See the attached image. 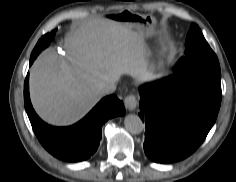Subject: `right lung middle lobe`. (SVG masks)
Here are the masks:
<instances>
[{
	"mask_svg": "<svg viewBox=\"0 0 236 182\" xmlns=\"http://www.w3.org/2000/svg\"><path fill=\"white\" fill-rule=\"evenodd\" d=\"M55 33L56 31L54 30L51 33H47L44 36H42V38L38 41L37 45L35 46L31 54V57L36 58L37 55L41 52V50H43L50 44V41L53 40Z\"/></svg>",
	"mask_w": 236,
	"mask_h": 182,
	"instance_id": "dd1d6c3e",
	"label": "right lung middle lobe"
}]
</instances>
